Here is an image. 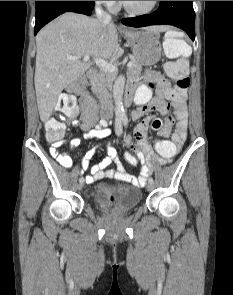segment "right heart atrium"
<instances>
[{
  "mask_svg": "<svg viewBox=\"0 0 233 295\" xmlns=\"http://www.w3.org/2000/svg\"><path fill=\"white\" fill-rule=\"evenodd\" d=\"M96 2L111 10L115 9L117 6V1H96Z\"/></svg>",
  "mask_w": 233,
  "mask_h": 295,
  "instance_id": "obj_1",
  "label": "right heart atrium"
}]
</instances>
